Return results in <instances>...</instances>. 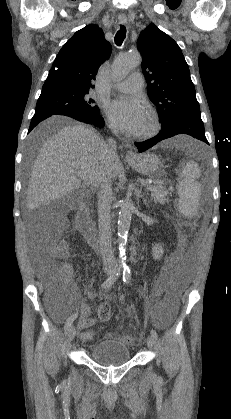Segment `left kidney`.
<instances>
[{"label":"left kidney","instance_id":"left-kidney-1","mask_svg":"<svg viewBox=\"0 0 231 419\" xmlns=\"http://www.w3.org/2000/svg\"><path fill=\"white\" fill-rule=\"evenodd\" d=\"M164 253L163 247L160 244H155L152 247V255L155 260H159Z\"/></svg>","mask_w":231,"mask_h":419}]
</instances>
